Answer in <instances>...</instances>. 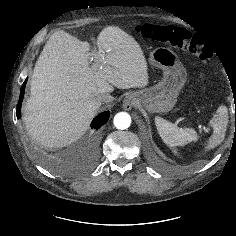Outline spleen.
<instances>
[{
	"instance_id": "3e777b00",
	"label": "spleen",
	"mask_w": 236,
	"mask_h": 236,
	"mask_svg": "<svg viewBox=\"0 0 236 236\" xmlns=\"http://www.w3.org/2000/svg\"><path fill=\"white\" fill-rule=\"evenodd\" d=\"M228 113L225 106H220L217 116L211 120L214 129L212 137L208 141L207 149H214L220 145L225 137ZM155 125L163 142L170 148L184 146L198 140L197 132L193 128H180L159 116L155 117ZM176 153V150H174Z\"/></svg>"
}]
</instances>
